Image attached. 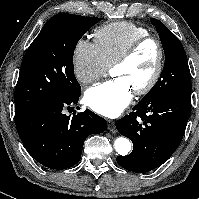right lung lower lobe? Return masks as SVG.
I'll list each match as a JSON object with an SVG mask.
<instances>
[{"label":"right lung lower lobe","instance_id":"1","mask_svg":"<svg viewBox=\"0 0 199 199\" xmlns=\"http://www.w3.org/2000/svg\"><path fill=\"white\" fill-rule=\"evenodd\" d=\"M79 96L38 106L15 118L19 137L29 154L51 169H66L81 158L85 139L105 131L107 122L90 110L72 117L63 114L65 107L78 102Z\"/></svg>","mask_w":199,"mask_h":199}]
</instances>
